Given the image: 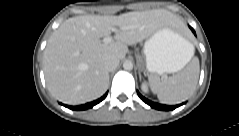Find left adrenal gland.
Here are the masks:
<instances>
[{
  "mask_svg": "<svg viewBox=\"0 0 239 136\" xmlns=\"http://www.w3.org/2000/svg\"><path fill=\"white\" fill-rule=\"evenodd\" d=\"M139 78H140V80H141V70H139Z\"/></svg>",
  "mask_w": 239,
  "mask_h": 136,
  "instance_id": "1",
  "label": "left adrenal gland"
}]
</instances>
